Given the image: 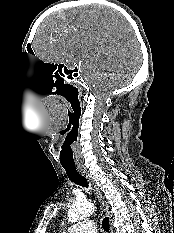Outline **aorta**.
<instances>
[{"instance_id": "1", "label": "aorta", "mask_w": 174, "mask_h": 233, "mask_svg": "<svg viewBox=\"0 0 174 233\" xmlns=\"http://www.w3.org/2000/svg\"><path fill=\"white\" fill-rule=\"evenodd\" d=\"M94 212V206L87 201L75 202L68 211L69 222H77L91 215Z\"/></svg>"}]
</instances>
